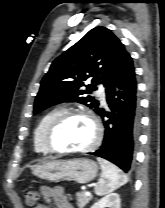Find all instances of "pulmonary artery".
I'll use <instances>...</instances> for the list:
<instances>
[{"instance_id":"1","label":"pulmonary artery","mask_w":165,"mask_h":208,"mask_svg":"<svg viewBox=\"0 0 165 208\" xmlns=\"http://www.w3.org/2000/svg\"><path fill=\"white\" fill-rule=\"evenodd\" d=\"M97 95L100 98L101 103L105 104V102H106V100H105V91H104V89L102 87H100L97 90Z\"/></svg>"}]
</instances>
